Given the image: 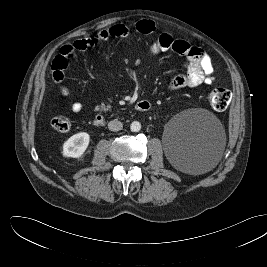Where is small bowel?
I'll list each match as a JSON object with an SVG mask.
<instances>
[{
  "label": "small bowel",
  "instance_id": "obj_1",
  "mask_svg": "<svg viewBox=\"0 0 267 267\" xmlns=\"http://www.w3.org/2000/svg\"><path fill=\"white\" fill-rule=\"evenodd\" d=\"M136 30L142 35H148L154 32L155 24L152 20L143 19L137 22ZM128 35L127 26L116 24L94 35L64 45L52 65V77L59 84L61 94L63 96L69 95L68 88L63 84L64 70L76 52L95 47L108 39H122ZM149 51L153 54L172 51L185 59V71L175 76L170 82L169 88L171 90L193 88L202 84L211 85L214 82V68L211 58L199 46L191 45L181 39H174L170 34L163 33L150 45ZM71 109L73 112L79 113L83 110V105L80 102H73Z\"/></svg>",
  "mask_w": 267,
  "mask_h": 267
}]
</instances>
